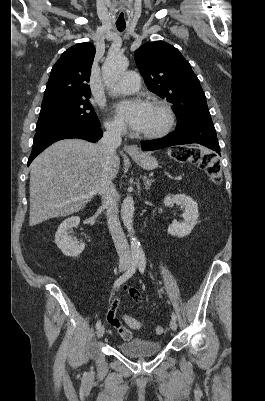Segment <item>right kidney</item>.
<instances>
[{
  "instance_id": "1",
  "label": "right kidney",
  "mask_w": 265,
  "mask_h": 401,
  "mask_svg": "<svg viewBox=\"0 0 265 401\" xmlns=\"http://www.w3.org/2000/svg\"><path fill=\"white\" fill-rule=\"evenodd\" d=\"M79 223L80 217H69V219H65L57 229L55 243L66 257H78L85 249V243L72 241V237H69L68 233L69 229L77 227Z\"/></svg>"
}]
</instances>
